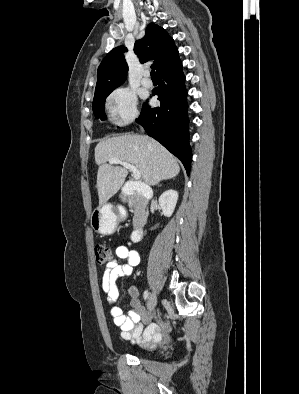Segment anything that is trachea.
I'll use <instances>...</instances> for the list:
<instances>
[{
  "label": "trachea",
  "mask_w": 299,
  "mask_h": 394,
  "mask_svg": "<svg viewBox=\"0 0 299 394\" xmlns=\"http://www.w3.org/2000/svg\"><path fill=\"white\" fill-rule=\"evenodd\" d=\"M151 79H157L155 70L151 71Z\"/></svg>",
  "instance_id": "obj_1"
}]
</instances>
